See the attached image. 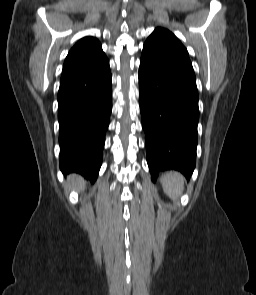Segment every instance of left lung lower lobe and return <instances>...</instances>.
Masks as SVG:
<instances>
[{"label":"left lung lower lobe","mask_w":256,"mask_h":295,"mask_svg":"<svg viewBox=\"0 0 256 295\" xmlns=\"http://www.w3.org/2000/svg\"><path fill=\"white\" fill-rule=\"evenodd\" d=\"M139 94L152 180L166 169L178 170L189 179L197 147V88L140 64Z\"/></svg>","instance_id":"left-lung-lower-lobe-1"}]
</instances>
